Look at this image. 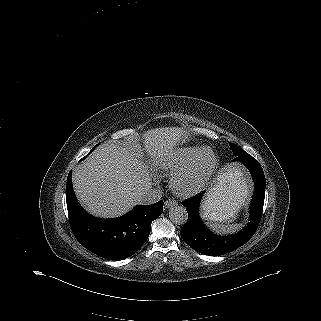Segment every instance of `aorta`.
I'll list each match as a JSON object with an SVG mask.
<instances>
[{"label":"aorta","mask_w":321,"mask_h":321,"mask_svg":"<svg viewBox=\"0 0 321 321\" xmlns=\"http://www.w3.org/2000/svg\"><path fill=\"white\" fill-rule=\"evenodd\" d=\"M170 220L176 225H184L188 220V213L185 207L175 205L169 211Z\"/></svg>","instance_id":"762f6f07"}]
</instances>
